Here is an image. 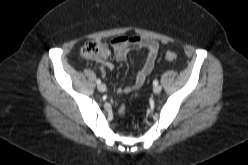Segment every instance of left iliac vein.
I'll list each match as a JSON object with an SVG mask.
<instances>
[{"label":"left iliac vein","mask_w":248,"mask_h":165,"mask_svg":"<svg viewBox=\"0 0 248 165\" xmlns=\"http://www.w3.org/2000/svg\"><path fill=\"white\" fill-rule=\"evenodd\" d=\"M153 91L154 93L158 94L162 91V87L160 85H155Z\"/></svg>","instance_id":"4c4485c4"}]
</instances>
